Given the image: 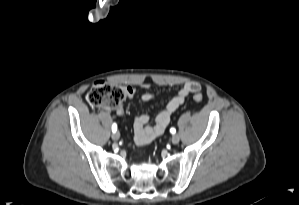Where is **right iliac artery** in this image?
Segmentation results:
<instances>
[{
    "label": "right iliac artery",
    "mask_w": 299,
    "mask_h": 205,
    "mask_svg": "<svg viewBox=\"0 0 299 205\" xmlns=\"http://www.w3.org/2000/svg\"><path fill=\"white\" fill-rule=\"evenodd\" d=\"M116 130H117V125L114 123V124L112 125V132L115 133Z\"/></svg>",
    "instance_id": "obj_1"
}]
</instances>
